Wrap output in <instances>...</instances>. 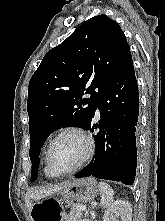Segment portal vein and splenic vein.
Instances as JSON below:
<instances>
[{"mask_svg": "<svg viewBox=\"0 0 165 221\" xmlns=\"http://www.w3.org/2000/svg\"><path fill=\"white\" fill-rule=\"evenodd\" d=\"M79 209L82 210V211H85L86 210V206L81 205V206H79Z\"/></svg>", "mask_w": 165, "mask_h": 221, "instance_id": "18ae733b", "label": "portal vein and splenic vein"}]
</instances>
